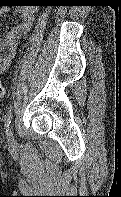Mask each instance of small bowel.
I'll return each mask as SVG.
<instances>
[{"label":"small bowel","mask_w":121,"mask_h":197,"mask_svg":"<svg viewBox=\"0 0 121 197\" xmlns=\"http://www.w3.org/2000/svg\"><path fill=\"white\" fill-rule=\"evenodd\" d=\"M9 9L8 6H1L0 16ZM18 14L20 17L19 22L0 36V74L5 73L9 69L15 58L18 39L21 34L29 30L33 21V12L30 8H19ZM3 27L4 24L0 22V28Z\"/></svg>","instance_id":"obj_1"}]
</instances>
